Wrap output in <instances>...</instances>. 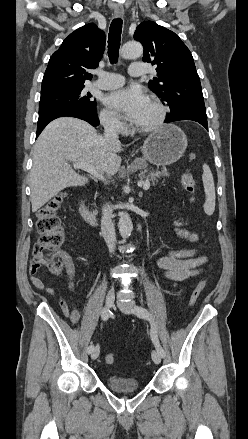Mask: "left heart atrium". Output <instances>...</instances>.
Here are the masks:
<instances>
[{"mask_svg":"<svg viewBox=\"0 0 248 439\" xmlns=\"http://www.w3.org/2000/svg\"><path fill=\"white\" fill-rule=\"evenodd\" d=\"M105 104L122 114L126 119L136 122L148 104V98L139 87H129L109 93Z\"/></svg>","mask_w":248,"mask_h":439,"instance_id":"1","label":"left heart atrium"}]
</instances>
